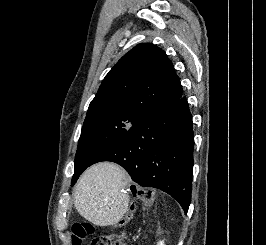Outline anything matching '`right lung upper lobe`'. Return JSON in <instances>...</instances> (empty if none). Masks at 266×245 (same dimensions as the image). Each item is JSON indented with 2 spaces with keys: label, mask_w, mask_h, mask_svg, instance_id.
<instances>
[{
  "label": "right lung upper lobe",
  "mask_w": 266,
  "mask_h": 245,
  "mask_svg": "<svg viewBox=\"0 0 266 245\" xmlns=\"http://www.w3.org/2000/svg\"><path fill=\"white\" fill-rule=\"evenodd\" d=\"M172 62L153 44H139L126 53L103 80L87 116L125 112L145 116L182 96Z\"/></svg>",
  "instance_id": "cb5924a9"
}]
</instances>
